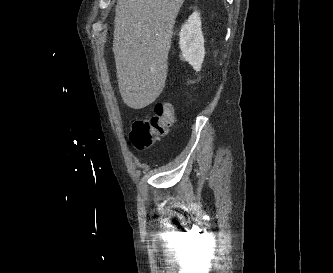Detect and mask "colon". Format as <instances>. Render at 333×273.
I'll return each instance as SVG.
<instances>
[{
    "mask_svg": "<svg viewBox=\"0 0 333 273\" xmlns=\"http://www.w3.org/2000/svg\"><path fill=\"white\" fill-rule=\"evenodd\" d=\"M174 107L169 101H160L154 107V114L133 123L130 140L138 150L151 147L159 137L167 134L174 123Z\"/></svg>",
    "mask_w": 333,
    "mask_h": 273,
    "instance_id": "5ec220e1",
    "label": "colon"
}]
</instances>
